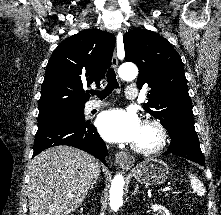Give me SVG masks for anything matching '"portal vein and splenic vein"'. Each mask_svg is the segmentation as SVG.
<instances>
[{"label": "portal vein and splenic vein", "instance_id": "1", "mask_svg": "<svg viewBox=\"0 0 221 215\" xmlns=\"http://www.w3.org/2000/svg\"><path fill=\"white\" fill-rule=\"evenodd\" d=\"M170 190H171L170 187H167V188L164 189V191H166V192H170Z\"/></svg>", "mask_w": 221, "mask_h": 215}]
</instances>
